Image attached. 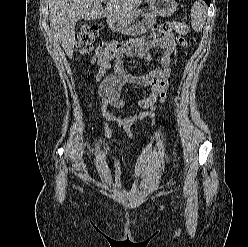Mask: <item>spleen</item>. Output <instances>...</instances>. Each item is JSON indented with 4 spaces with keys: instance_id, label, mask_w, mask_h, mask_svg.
Masks as SVG:
<instances>
[{
    "instance_id": "1",
    "label": "spleen",
    "mask_w": 248,
    "mask_h": 247,
    "mask_svg": "<svg viewBox=\"0 0 248 247\" xmlns=\"http://www.w3.org/2000/svg\"><path fill=\"white\" fill-rule=\"evenodd\" d=\"M205 19H206L205 7L201 3L196 2L193 5V8L191 10L192 28L195 31L200 32L203 28L204 23H205Z\"/></svg>"
}]
</instances>
